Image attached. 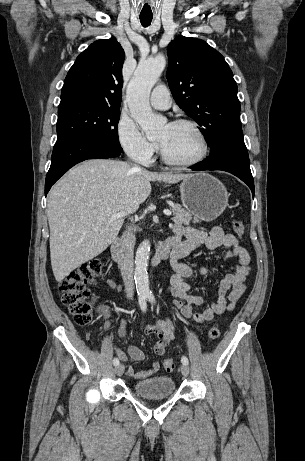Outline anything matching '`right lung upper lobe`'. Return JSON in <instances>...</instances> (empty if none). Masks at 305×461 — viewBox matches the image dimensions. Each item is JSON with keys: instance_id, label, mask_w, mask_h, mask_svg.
I'll return each instance as SVG.
<instances>
[{"instance_id": "1", "label": "right lung upper lobe", "mask_w": 305, "mask_h": 461, "mask_svg": "<svg viewBox=\"0 0 305 461\" xmlns=\"http://www.w3.org/2000/svg\"><path fill=\"white\" fill-rule=\"evenodd\" d=\"M124 59V50L116 39L92 43L70 68L59 108L78 103L120 107Z\"/></svg>"}]
</instances>
